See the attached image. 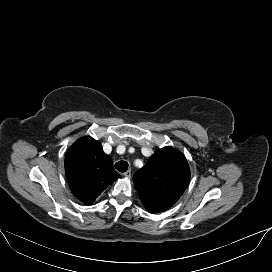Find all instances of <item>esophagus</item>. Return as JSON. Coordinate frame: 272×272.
<instances>
[{"label":"esophagus","mask_w":272,"mask_h":272,"mask_svg":"<svg viewBox=\"0 0 272 272\" xmlns=\"http://www.w3.org/2000/svg\"><path fill=\"white\" fill-rule=\"evenodd\" d=\"M124 176H125L126 178H131V171H130V170L126 171V172L124 173Z\"/></svg>","instance_id":"34e87169"}]
</instances>
